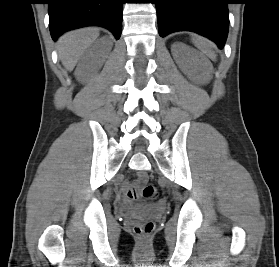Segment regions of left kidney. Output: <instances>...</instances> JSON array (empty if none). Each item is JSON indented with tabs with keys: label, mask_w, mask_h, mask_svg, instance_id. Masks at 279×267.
<instances>
[{
	"label": "left kidney",
	"mask_w": 279,
	"mask_h": 267,
	"mask_svg": "<svg viewBox=\"0 0 279 267\" xmlns=\"http://www.w3.org/2000/svg\"><path fill=\"white\" fill-rule=\"evenodd\" d=\"M179 44H175L174 47H178ZM176 63L179 65V67L182 69V71L184 73H187L188 72V68L186 66V63H185V60L182 58V57H178L176 59Z\"/></svg>",
	"instance_id": "left-kidney-1"
}]
</instances>
